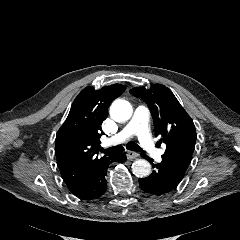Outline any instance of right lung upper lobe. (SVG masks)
<instances>
[{
	"mask_svg": "<svg viewBox=\"0 0 240 240\" xmlns=\"http://www.w3.org/2000/svg\"><path fill=\"white\" fill-rule=\"evenodd\" d=\"M125 89L121 84L100 90L86 87L72 103L66 121L57 132L55 145L57 164L69 190L75 189L110 157L97 156L99 138L104 134L101 124L110 103Z\"/></svg>",
	"mask_w": 240,
	"mask_h": 240,
	"instance_id": "cb5924a9",
	"label": "right lung upper lobe"
}]
</instances>
